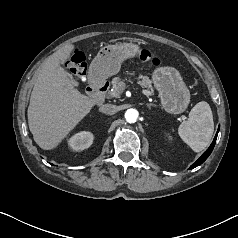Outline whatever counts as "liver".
<instances>
[{
	"label": "liver",
	"mask_w": 238,
	"mask_h": 238,
	"mask_svg": "<svg viewBox=\"0 0 238 238\" xmlns=\"http://www.w3.org/2000/svg\"><path fill=\"white\" fill-rule=\"evenodd\" d=\"M73 49L68 45L53 53L36 73L27 116L34 141L44 150L55 148L96 104L75 89L76 83L60 66Z\"/></svg>",
	"instance_id": "obj_1"
}]
</instances>
